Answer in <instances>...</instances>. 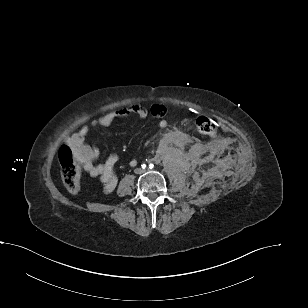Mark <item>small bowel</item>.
<instances>
[{
	"label": "small bowel",
	"instance_id": "small-bowel-1",
	"mask_svg": "<svg viewBox=\"0 0 308 308\" xmlns=\"http://www.w3.org/2000/svg\"><path fill=\"white\" fill-rule=\"evenodd\" d=\"M148 114L156 118H164L167 110L163 105L153 104L149 109L142 105H131L119 110L108 112L94 120L90 126H108L113 121L126 118L130 116H137L145 118ZM167 125L165 120L159 123L160 128H165ZM90 127L88 125L82 126L76 133L66 139V144L70 146L74 152L76 159L81 163L84 170L94 178H98L108 192L112 191L117 184L116 165L119 157L113 153L108 156L106 161L102 164H95L94 161L99 156V150L86 142V137L89 133ZM187 141V135L179 130L168 131L163 134L160 140V146L166 147L168 145L182 146ZM132 166L136 165V161L130 162Z\"/></svg>",
	"mask_w": 308,
	"mask_h": 308
}]
</instances>
